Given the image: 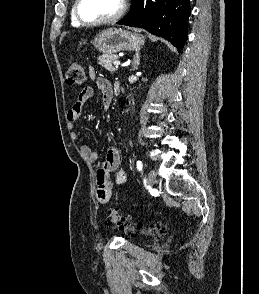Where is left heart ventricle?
<instances>
[{
    "mask_svg": "<svg viewBox=\"0 0 259 294\" xmlns=\"http://www.w3.org/2000/svg\"><path fill=\"white\" fill-rule=\"evenodd\" d=\"M121 0H82L80 12L83 18L96 21L114 15L120 8Z\"/></svg>",
    "mask_w": 259,
    "mask_h": 294,
    "instance_id": "1",
    "label": "left heart ventricle"
}]
</instances>
